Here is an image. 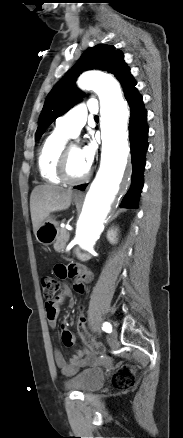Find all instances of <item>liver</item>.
Masks as SVG:
<instances>
[{
	"label": "liver",
	"instance_id": "liver-1",
	"mask_svg": "<svg viewBox=\"0 0 183 438\" xmlns=\"http://www.w3.org/2000/svg\"><path fill=\"white\" fill-rule=\"evenodd\" d=\"M72 194L71 189L53 185H41L33 189L30 196V211L34 234L50 213L70 207Z\"/></svg>",
	"mask_w": 183,
	"mask_h": 438
}]
</instances>
